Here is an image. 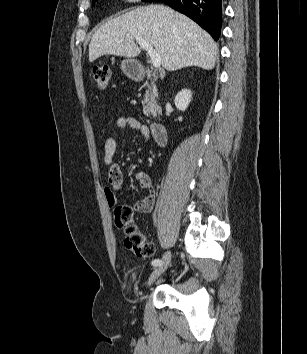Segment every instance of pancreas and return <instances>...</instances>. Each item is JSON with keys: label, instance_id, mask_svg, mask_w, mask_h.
Returning <instances> with one entry per match:
<instances>
[{"label": "pancreas", "instance_id": "pancreas-1", "mask_svg": "<svg viewBox=\"0 0 307 354\" xmlns=\"http://www.w3.org/2000/svg\"><path fill=\"white\" fill-rule=\"evenodd\" d=\"M158 96L156 86L153 82L151 85L148 84V90H146L144 100L142 101L143 112L146 115L152 113L156 108V98Z\"/></svg>", "mask_w": 307, "mask_h": 354}]
</instances>
